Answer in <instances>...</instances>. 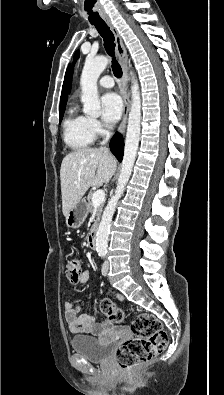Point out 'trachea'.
Here are the masks:
<instances>
[{"mask_svg": "<svg viewBox=\"0 0 224 395\" xmlns=\"http://www.w3.org/2000/svg\"><path fill=\"white\" fill-rule=\"evenodd\" d=\"M92 25H94L96 27L97 31L102 36V38L104 40L105 50L108 53V55H110L112 57V70H113L114 75L117 78H120L122 75V69L115 58V53H114L115 37H114V34L112 33V31L110 30V28L104 21L95 22V23H92Z\"/></svg>", "mask_w": 224, "mask_h": 395, "instance_id": "1", "label": "trachea"}]
</instances>
